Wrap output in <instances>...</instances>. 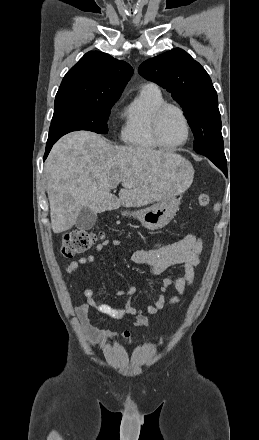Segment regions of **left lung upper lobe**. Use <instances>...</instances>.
<instances>
[{"label": "left lung upper lobe", "instance_id": "1", "mask_svg": "<svg viewBox=\"0 0 259 440\" xmlns=\"http://www.w3.org/2000/svg\"><path fill=\"white\" fill-rule=\"evenodd\" d=\"M141 76L171 93L193 131L194 150L205 156H225L218 97L205 69L180 48L143 62Z\"/></svg>", "mask_w": 259, "mask_h": 440}]
</instances>
